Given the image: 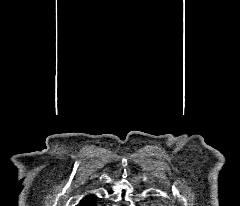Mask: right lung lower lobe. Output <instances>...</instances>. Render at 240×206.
<instances>
[{"instance_id":"obj_1","label":"right lung lower lobe","mask_w":240,"mask_h":206,"mask_svg":"<svg viewBox=\"0 0 240 206\" xmlns=\"http://www.w3.org/2000/svg\"><path fill=\"white\" fill-rule=\"evenodd\" d=\"M96 203L97 197L94 194H89L81 200L80 206H96Z\"/></svg>"}]
</instances>
